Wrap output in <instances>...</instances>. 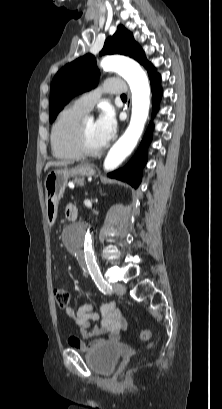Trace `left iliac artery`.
<instances>
[{"label":"left iliac artery","mask_w":222,"mask_h":409,"mask_svg":"<svg viewBox=\"0 0 222 409\" xmlns=\"http://www.w3.org/2000/svg\"><path fill=\"white\" fill-rule=\"evenodd\" d=\"M90 274L92 279L94 280L95 284L99 288V290L104 294H111L112 287L111 285L106 282L100 272V269L97 267L95 269L90 270Z\"/></svg>","instance_id":"left-iliac-artery-1"}]
</instances>
